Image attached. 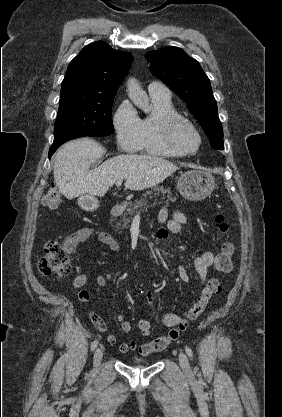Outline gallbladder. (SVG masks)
Segmentation results:
<instances>
[{
	"label": "gallbladder",
	"mask_w": 282,
	"mask_h": 417,
	"mask_svg": "<svg viewBox=\"0 0 282 417\" xmlns=\"http://www.w3.org/2000/svg\"><path fill=\"white\" fill-rule=\"evenodd\" d=\"M79 202H81V200H87L86 196H79L78 198Z\"/></svg>",
	"instance_id": "1"
}]
</instances>
